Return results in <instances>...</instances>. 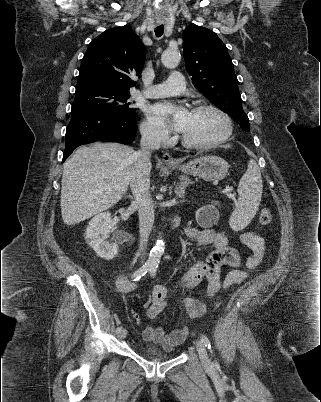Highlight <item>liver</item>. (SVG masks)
Returning <instances> with one entry per match:
<instances>
[{
    "instance_id": "1",
    "label": "liver",
    "mask_w": 321,
    "mask_h": 402,
    "mask_svg": "<svg viewBox=\"0 0 321 402\" xmlns=\"http://www.w3.org/2000/svg\"><path fill=\"white\" fill-rule=\"evenodd\" d=\"M135 154L133 148L119 143L97 142L79 147L64 163V223L77 224L115 205L128 189Z\"/></svg>"
}]
</instances>
